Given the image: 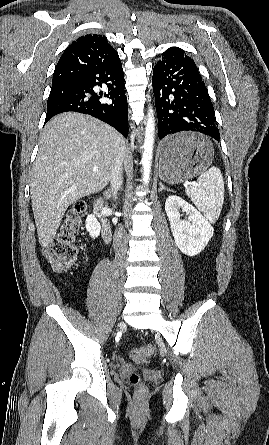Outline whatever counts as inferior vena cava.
<instances>
[{
  "label": "inferior vena cava",
  "instance_id": "obj_1",
  "mask_svg": "<svg viewBox=\"0 0 269 445\" xmlns=\"http://www.w3.org/2000/svg\"><path fill=\"white\" fill-rule=\"evenodd\" d=\"M122 160L123 156L121 154L116 158V162L114 165L112 177H111V191H113V196L116 199L117 191L121 188L122 185Z\"/></svg>",
  "mask_w": 269,
  "mask_h": 445
}]
</instances>
